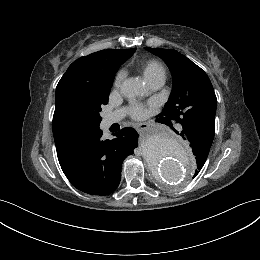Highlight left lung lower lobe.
<instances>
[{
	"instance_id": "obj_1",
	"label": "left lung lower lobe",
	"mask_w": 260,
	"mask_h": 260,
	"mask_svg": "<svg viewBox=\"0 0 260 260\" xmlns=\"http://www.w3.org/2000/svg\"><path fill=\"white\" fill-rule=\"evenodd\" d=\"M180 135L184 140L189 142L193 154L196 157V161L200 162L207 159L213 140L208 139L206 136L190 127H183ZM198 173L196 171L194 177Z\"/></svg>"
}]
</instances>
